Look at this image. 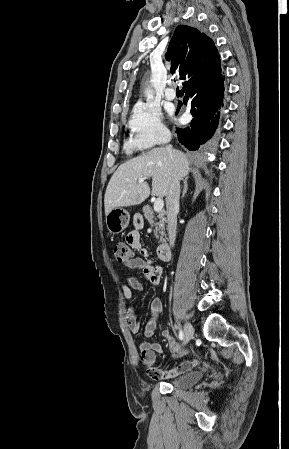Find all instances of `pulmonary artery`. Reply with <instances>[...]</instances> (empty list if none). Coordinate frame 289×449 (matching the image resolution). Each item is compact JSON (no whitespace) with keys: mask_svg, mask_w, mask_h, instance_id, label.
<instances>
[{"mask_svg":"<svg viewBox=\"0 0 289 449\" xmlns=\"http://www.w3.org/2000/svg\"><path fill=\"white\" fill-rule=\"evenodd\" d=\"M176 97V92L172 88L171 84L165 90V98L168 100H173Z\"/></svg>","mask_w":289,"mask_h":449,"instance_id":"1","label":"pulmonary artery"}]
</instances>
